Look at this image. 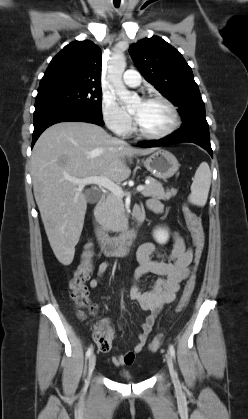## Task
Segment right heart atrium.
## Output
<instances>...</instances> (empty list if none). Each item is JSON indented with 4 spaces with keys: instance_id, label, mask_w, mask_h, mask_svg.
Returning <instances> with one entry per match:
<instances>
[{
    "instance_id": "right-heart-atrium-1",
    "label": "right heart atrium",
    "mask_w": 248,
    "mask_h": 419,
    "mask_svg": "<svg viewBox=\"0 0 248 419\" xmlns=\"http://www.w3.org/2000/svg\"><path fill=\"white\" fill-rule=\"evenodd\" d=\"M101 114L106 126L117 135L124 136L131 131V116L120 107L113 96L102 97Z\"/></svg>"
}]
</instances>
